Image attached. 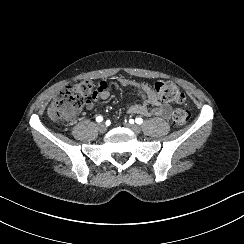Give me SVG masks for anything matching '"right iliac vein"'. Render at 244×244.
Segmentation results:
<instances>
[{
	"mask_svg": "<svg viewBox=\"0 0 244 244\" xmlns=\"http://www.w3.org/2000/svg\"><path fill=\"white\" fill-rule=\"evenodd\" d=\"M100 133H105L107 131V126L104 123H100L97 126Z\"/></svg>",
	"mask_w": 244,
	"mask_h": 244,
	"instance_id": "1",
	"label": "right iliac vein"
}]
</instances>
